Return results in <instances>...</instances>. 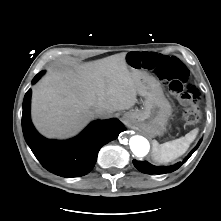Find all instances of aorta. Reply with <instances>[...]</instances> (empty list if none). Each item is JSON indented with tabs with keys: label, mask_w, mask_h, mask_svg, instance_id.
Wrapping results in <instances>:
<instances>
[{
	"label": "aorta",
	"mask_w": 221,
	"mask_h": 221,
	"mask_svg": "<svg viewBox=\"0 0 221 221\" xmlns=\"http://www.w3.org/2000/svg\"><path fill=\"white\" fill-rule=\"evenodd\" d=\"M130 149L137 157H144L149 152V142L146 138L134 135L129 140Z\"/></svg>",
	"instance_id": "1"
}]
</instances>
